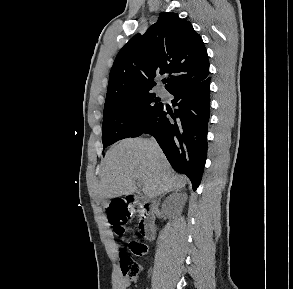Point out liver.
<instances>
[{"instance_id": "obj_1", "label": "liver", "mask_w": 293, "mask_h": 289, "mask_svg": "<svg viewBox=\"0 0 293 289\" xmlns=\"http://www.w3.org/2000/svg\"><path fill=\"white\" fill-rule=\"evenodd\" d=\"M185 176L174 174L158 144L144 138H128L109 149L101 170V197L117 198L143 186L147 198L180 190Z\"/></svg>"}]
</instances>
